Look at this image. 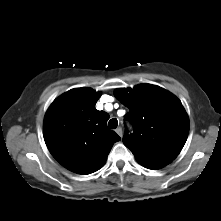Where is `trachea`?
<instances>
[{"mask_svg":"<svg viewBox=\"0 0 221 221\" xmlns=\"http://www.w3.org/2000/svg\"><path fill=\"white\" fill-rule=\"evenodd\" d=\"M108 126L110 129H116L118 126V121L117 119L113 118L108 122Z\"/></svg>","mask_w":221,"mask_h":221,"instance_id":"obj_1","label":"trachea"}]
</instances>
